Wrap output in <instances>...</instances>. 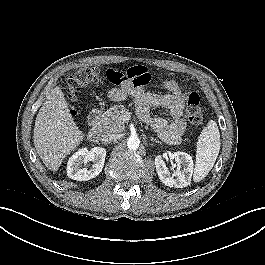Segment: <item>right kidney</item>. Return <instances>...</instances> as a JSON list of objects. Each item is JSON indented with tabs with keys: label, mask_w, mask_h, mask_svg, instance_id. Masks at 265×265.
Returning <instances> with one entry per match:
<instances>
[{
	"label": "right kidney",
	"mask_w": 265,
	"mask_h": 265,
	"mask_svg": "<svg viewBox=\"0 0 265 265\" xmlns=\"http://www.w3.org/2000/svg\"><path fill=\"white\" fill-rule=\"evenodd\" d=\"M106 149L94 147L91 150L82 148L75 152L68 160L67 175L69 178L77 181H87L96 177L104 166ZM92 161L90 169L82 167V164Z\"/></svg>",
	"instance_id": "1"
}]
</instances>
